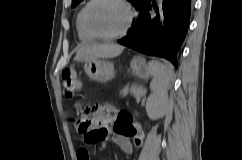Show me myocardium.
I'll return each mask as SVG.
<instances>
[{"instance_id":"f54148a6","label":"myocardium","mask_w":242,"mask_h":160,"mask_svg":"<svg viewBox=\"0 0 242 160\" xmlns=\"http://www.w3.org/2000/svg\"><path fill=\"white\" fill-rule=\"evenodd\" d=\"M97 1L98 0H89L87 2V4L83 7L81 21H82V25H83V28L85 29V31L94 39H101V40H116V39L122 38L126 34H128V32L132 28L134 18H135V11H134L133 7L131 6V4L128 2V0H117L120 4H122L124 6V8L126 9L127 14H128L126 25L120 32L115 33V34H97L91 30V28L89 27V25L87 23V11L90 8V6Z\"/></svg>"}]
</instances>
